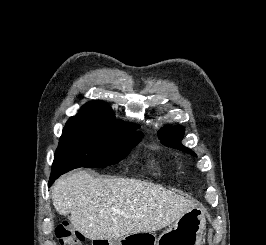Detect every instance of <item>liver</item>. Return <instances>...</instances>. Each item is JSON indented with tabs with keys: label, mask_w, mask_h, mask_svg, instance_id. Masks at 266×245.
<instances>
[{
	"label": "liver",
	"mask_w": 266,
	"mask_h": 245,
	"mask_svg": "<svg viewBox=\"0 0 266 245\" xmlns=\"http://www.w3.org/2000/svg\"><path fill=\"white\" fill-rule=\"evenodd\" d=\"M59 215L91 241L160 231L195 207L160 185L137 179H95L88 171L65 175L51 193Z\"/></svg>",
	"instance_id": "6515ba94"
}]
</instances>
